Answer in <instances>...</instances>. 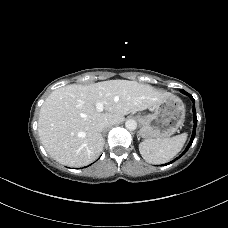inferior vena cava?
Instances as JSON below:
<instances>
[{
  "mask_svg": "<svg viewBox=\"0 0 228 228\" xmlns=\"http://www.w3.org/2000/svg\"><path fill=\"white\" fill-rule=\"evenodd\" d=\"M109 126H110V123L108 121H103L96 125V129L101 132Z\"/></svg>",
  "mask_w": 228,
  "mask_h": 228,
  "instance_id": "602c4592",
  "label": "inferior vena cava"
}]
</instances>
